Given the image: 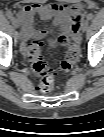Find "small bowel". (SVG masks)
<instances>
[{"label": "small bowel", "instance_id": "small-bowel-1", "mask_svg": "<svg viewBox=\"0 0 104 137\" xmlns=\"http://www.w3.org/2000/svg\"><path fill=\"white\" fill-rule=\"evenodd\" d=\"M83 8L80 4L67 5L59 2L46 4H31L18 10V21L22 28L21 49L26 53L27 46L32 38H41L46 31H35L33 19L35 15L43 20H51L54 27L61 32L77 37L82 21Z\"/></svg>", "mask_w": 104, "mask_h": 137}]
</instances>
